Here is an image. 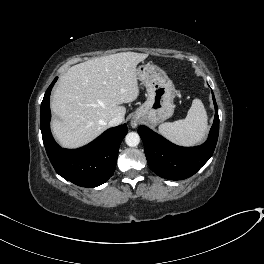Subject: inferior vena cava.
Here are the masks:
<instances>
[{
  "label": "inferior vena cava",
  "instance_id": "1",
  "mask_svg": "<svg viewBox=\"0 0 264 264\" xmlns=\"http://www.w3.org/2000/svg\"><path fill=\"white\" fill-rule=\"evenodd\" d=\"M122 122H123V118H122V117H119V116H116V117H113V118L108 122V125H109L110 127H114V126H118V125H120Z\"/></svg>",
  "mask_w": 264,
  "mask_h": 264
}]
</instances>
